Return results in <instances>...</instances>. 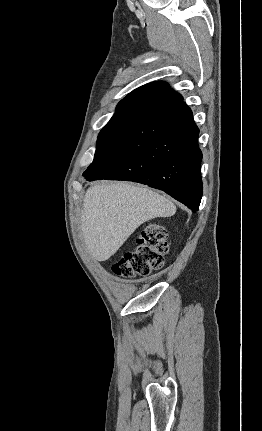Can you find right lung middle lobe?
<instances>
[{"label": "right lung middle lobe", "mask_w": 262, "mask_h": 431, "mask_svg": "<svg viewBox=\"0 0 262 431\" xmlns=\"http://www.w3.org/2000/svg\"><path fill=\"white\" fill-rule=\"evenodd\" d=\"M130 127L129 125H106L99 133L97 148L91 165H93Z\"/></svg>", "instance_id": "1"}]
</instances>
